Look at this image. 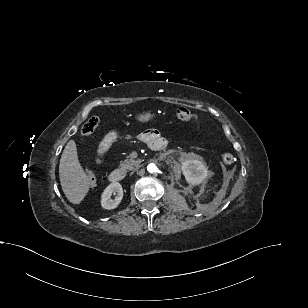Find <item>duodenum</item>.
Instances as JSON below:
<instances>
[{"instance_id":"obj_1","label":"duodenum","mask_w":308,"mask_h":308,"mask_svg":"<svg viewBox=\"0 0 308 308\" xmlns=\"http://www.w3.org/2000/svg\"><path fill=\"white\" fill-rule=\"evenodd\" d=\"M165 146L164 141H156L155 143H152L149 146V149L152 152H155L156 150L162 149ZM125 177V174L120 169H114L109 173V180L113 183L121 182Z\"/></svg>"}]
</instances>
